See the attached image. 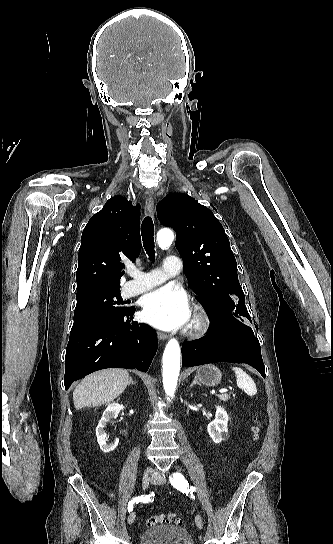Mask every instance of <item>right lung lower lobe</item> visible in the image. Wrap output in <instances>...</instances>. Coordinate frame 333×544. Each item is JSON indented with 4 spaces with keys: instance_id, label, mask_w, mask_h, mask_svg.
Instances as JSON below:
<instances>
[{
    "instance_id": "obj_1",
    "label": "right lung lower lobe",
    "mask_w": 333,
    "mask_h": 544,
    "mask_svg": "<svg viewBox=\"0 0 333 544\" xmlns=\"http://www.w3.org/2000/svg\"><path fill=\"white\" fill-rule=\"evenodd\" d=\"M135 308L70 336L65 356L64 385L104 368H128L146 372L157 351L155 331L133 321Z\"/></svg>"
}]
</instances>
